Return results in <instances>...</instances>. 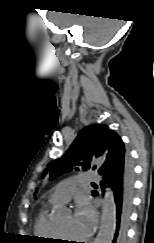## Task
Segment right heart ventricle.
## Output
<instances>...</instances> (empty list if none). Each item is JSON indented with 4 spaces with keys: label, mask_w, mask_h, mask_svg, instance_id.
<instances>
[{
    "label": "right heart ventricle",
    "mask_w": 154,
    "mask_h": 243,
    "mask_svg": "<svg viewBox=\"0 0 154 243\" xmlns=\"http://www.w3.org/2000/svg\"><path fill=\"white\" fill-rule=\"evenodd\" d=\"M55 204L57 203L49 200L48 204L44 206L38 213L34 225V232L38 237L49 240L58 239L55 230V222L50 218L49 215L50 207Z\"/></svg>",
    "instance_id": "1"
}]
</instances>
